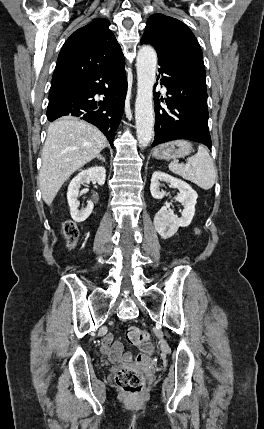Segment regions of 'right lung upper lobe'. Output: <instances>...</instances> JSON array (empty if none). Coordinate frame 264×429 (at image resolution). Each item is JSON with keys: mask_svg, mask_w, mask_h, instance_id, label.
Listing matches in <instances>:
<instances>
[{"mask_svg": "<svg viewBox=\"0 0 264 429\" xmlns=\"http://www.w3.org/2000/svg\"><path fill=\"white\" fill-rule=\"evenodd\" d=\"M109 25L108 20L97 19L67 39L58 56L51 88L86 78L122 55Z\"/></svg>", "mask_w": 264, "mask_h": 429, "instance_id": "obj_1", "label": "right lung upper lobe"}]
</instances>
